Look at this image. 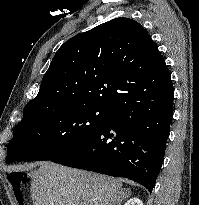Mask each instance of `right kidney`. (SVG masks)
<instances>
[{
	"mask_svg": "<svg viewBox=\"0 0 199 205\" xmlns=\"http://www.w3.org/2000/svg\"><path fill=\"white\" fill-rule=\"evenodd\" d=\"M124 205H143L139 198H130Z\"/></svg>",
	"mask_w": 199,
	"mask_h": 205,
	"instance_id": "ca27d5eb",
	"label": "right kidney"
}]
</instances>
